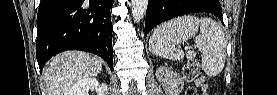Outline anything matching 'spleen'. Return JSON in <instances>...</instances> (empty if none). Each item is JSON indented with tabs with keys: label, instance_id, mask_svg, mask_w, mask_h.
Here are the masks:
<instances>
[{
	"label": "spleen",
	"instance_id": "spleen-1",
	"mask_svg": "<svg viewBox=\"0 0 277 95\" xmlns=\"http://www.w3.org/2000/svg\"><path fill=\"white\" fill-rule=\"evenodd\" d=\"M194 37V46L202 53L204 72L208 76L220 74L225 65L227 39L223 28L210 18L186 15L164 22L151 35L149 50L160 58L181 60L184 52L180 44Z\"/></svg>",
	"mask_w": 277,
	"mask_h": 95
}]
</instances>
